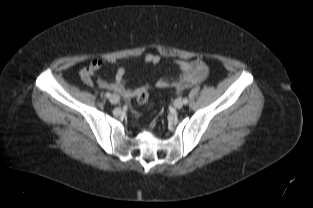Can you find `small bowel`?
Listing matches in <instances>:
<instances>
[{
	"label": "small bowel",
	"instance_id": "1",
	"mask_svg": "<svg viewBox=\"0 0 313 208\" xmlns=\"http://www.w3.org/2000/svg\"><path fill=\"white\" fill-rule=\"evenodd\" d=\"M144 62L149 64H158L161 60L159 55L148 53L143 58ZM104 62L100 59L92 60L89 65L80 71V78L82 82L91 87L93 85V80L97 72L101 69ZM180 71L181 77L178 81L170 83L165 79H161L156 83L158 88H167L169 86H174L177 90H184L192 85L200 83L206 79L208 76V68L206 64L201 60L194 61H184L178 60L176 62ZM125 69L120 67L117 69L114 78L110 81L103 78H97L98 85L107 90L119 93L126 99H131L141 91L144 87L138 88H128L125 82Z\"/></svg>",
	"mask_w": 313,
	"mask_h": 208
}]
</instances>
